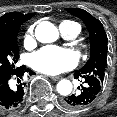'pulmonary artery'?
<instances>
[{
  "label": "pulmonary artery",
  "instance_id": "e3ab8cb5",
  "mask_svg": "<svg viewBox=\"0 0 117 117\" xmlns=\"http://www.w3.org/2000/svg\"><path fill=\"white\" fill-rule=\"evenodd\" d=\"M60 30L63 36L67 39L75 38L80 32L76 27H66L64 25H60Z\"/></svg>",
  "mask_w": 117,
  "mask_h": 117
}]
</instances>
